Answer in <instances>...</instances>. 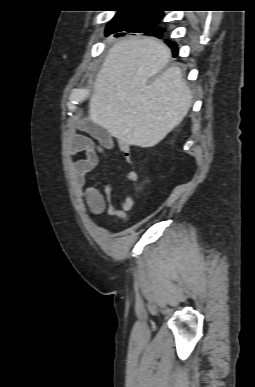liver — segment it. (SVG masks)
<instances>
[{
    "mask_svg": "<svg viewBox=\"0 0 255 387\" xmlns=\"http://www.w3.org/2000/svg\"><path fill=\"white\" fill-rule=\"evenodd\" d=\"M170 58V48L152 37L116 42L96 77L90 119L122 144L157 145L192 105L181 69L174 66L162 72Z\"/></svg>",
    "mask_w": 255,
    "mask_h": 387,
    "instance_id": "1",
    "label": "liver"
}]
</instances>
